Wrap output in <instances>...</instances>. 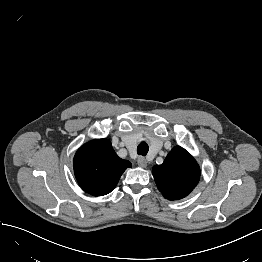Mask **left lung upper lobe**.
Masks as SVG:
<instances>
[{"label":"left lung upper lobe","mask_w":262,"mask_h":262,"mask_svg":"<svg viewBox=\"0 0 262 262\" xmlns=\"http://www.w3.org/2000/svg\"><path fill=\"white\" fill-rule=\"evenodd\" d=\"M159 191L169 200L186 197L197 185L200 168L195 159L182 147H174L162 165L152 170Z\"/></svg>","instance_id":"5c2ea615"}]
</instances>
